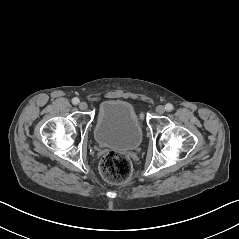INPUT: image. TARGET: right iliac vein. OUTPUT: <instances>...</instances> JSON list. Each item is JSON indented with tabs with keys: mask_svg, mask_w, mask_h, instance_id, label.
Masks as SVG:
<instances>
[{
	"mask_svg": "<svg viewBox=\"0 0 239 239\" xmlns=\"http://www.w3.org/2000/svg\"><path fill=\"white\" fill-rule=\"evenodd\" d=\"M87 107H88V105H87L86 102H81V103H79V108H80L81 110H86Z\"/></svg>",
	"mask_w": 239,
	"mask_h": 239,
	"instance_id": "right-iliac-vein-1",
	"label": "right iliac vein"
}]
</instances>
